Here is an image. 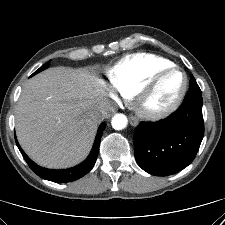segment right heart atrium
Returning <instances> with one entry per match:
<instances>
[{"label":"right heart atrium","mask_w":225,"mask_h":225,"mask_svg":"<svg viewBox=\"0 0 225 225\" xmlns=\"http://www.w3.org/2000/svg\"><path fill=\"white\" fill-rule=\"evenodd\" d=\"M109 91H110L111 94H114L113 91H112L111 89H109Z\"/></svg>","instance_id":"d8ad5b80"}]
</instances>
